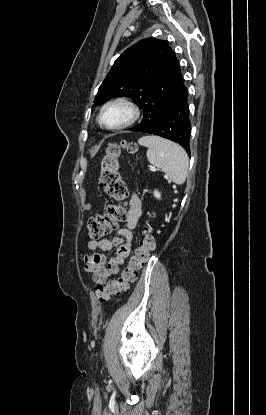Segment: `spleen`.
<instances>
[{
    "label": "spleen",
    "mask_w": 266,
    "mask_h": 415,
    "mask_svg": "<svg viewBox=\"0 0 266 415\" xmlns=\"http://www.w3.org/2000/svg\"><path fill=\"white\" fill-rule=\"evenodd\" d=\"M138 143L148 148V161L160 168L168 181L177 185H182L186 181L189 158L180 145L153 135L141 137Z\"/></svg>",
    "instance_id": "obj_1"
}]
</instances>
